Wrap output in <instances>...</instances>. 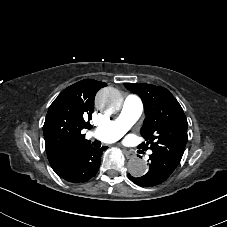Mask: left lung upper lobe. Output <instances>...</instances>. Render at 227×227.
I'll return each instance as SVG.
<instances>
[{"label": "left lung upper lobe", "instance_id": "obj_1", "mask_svg": "<svg viewBox=\"0 0 227 227\" xmlns=\"http://www.w3.org/2000/svg\"><path fill=\"white\" fill-rule=\"evenodd\" d=\"M132 93L138 94L144 104L146 118L141 135L154 154L164 155L180 162L187 143V119L175 97L165 88L143 83H124Z\"/></svg>", "mask_w": 227, "mask_h": 227}]
</instances>
